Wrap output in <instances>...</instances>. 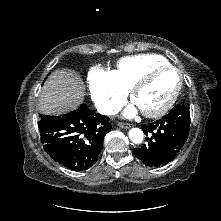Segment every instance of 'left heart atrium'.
I'll use <instances>...</instances> for the list:
<instances>
[{
    "mask_svg": "<svg viewBox=\"0 0 221 221\" xmlns=\"http://www.w3.org/2000/svg\"><path fill=\"white\" fill-rule=\"evenodd\" d=\"M135 113H136V108H135L134 106H130V107L126 110L125 115H126L127 117H131V116H133Z\"/></svg>",
    "mask_w": 221,
    "mask_h": 221,
    "instance_id": "39dd6f15",
    "label": "left heart atrium"
}]
</instances>
